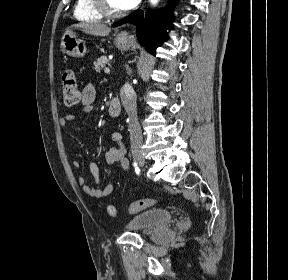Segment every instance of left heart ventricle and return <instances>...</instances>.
<instances>
[{"label":"left heart ventricle","instance_id":"1","mask_svg":"<svg viewBox=\"0 0 288 280\" xmlns=\"http://www.w3.org/2000/svg\"><path fill=\"white\" fill-rule=\"evenodd\" d=\"M108 4L110 6L111 9L115 10V11H120L121 9L119 8L117 1L116 0H107Z\"/></svg>","mask_w":288,"mask_h":280}]
</instances>
